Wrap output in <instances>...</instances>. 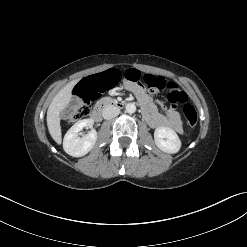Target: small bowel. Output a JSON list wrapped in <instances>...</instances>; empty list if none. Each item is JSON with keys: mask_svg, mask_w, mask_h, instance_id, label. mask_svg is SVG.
Here are the masks:
<instances>
[{"mask_svg": "<svg viewBox=\"0 0 247 247\" xmlns=\"http://www.w3.org/2000/svg\"><path fill=\"white\" fill-rule=\"evenodd\" d=\"M125 88L135 94L144 117L151 127L169 128L179 134L183 132L180 114L175 109H169L164 114L160 113L142 84L128 81L125 83Z\"/></svg>", "mask_w": 247, "mask_h": 247, "instance_id": "small-bowel-1", "label": "small bowel"}]
</instances>
